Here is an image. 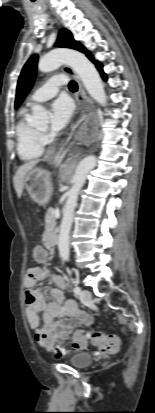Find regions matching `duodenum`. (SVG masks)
Segmentation results:
<instances>
[{
    "label": "duodenum",
    "instance_id": "410a0bca",
    "mask_svg": "<svg viewBox=\"0 0 155 413\" xmlns=\"http://www.w3.org/2000/svg\"><path fill=\"white\" fill-rule=\"evenodd\" d=\"M51 237H52V245L55 244L57 242V238H58V234L56 230H52L51 231Z\"/></svg>",
    "mask_w": 155,
    "mask_h": 413
}]
</instances>
